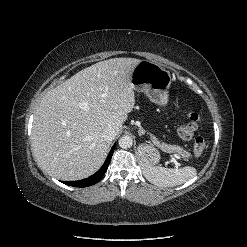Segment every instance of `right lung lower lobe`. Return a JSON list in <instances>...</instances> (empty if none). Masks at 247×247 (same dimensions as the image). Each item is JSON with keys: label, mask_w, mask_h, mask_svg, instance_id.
I'll list each match as a JSON object with an SVG mask.
<instances>
[{"label": "right lung lower lobe", "mask_w": 247, "mask_h": 247, "mask_svg": "<svg viewBox=\"0 0 247 247\" xmlns=\"http://www.w3.org/2000/svg\"><path fill=\"white\" fill-rule=\"evenodd\" d=\"M114 148H115V146L112 147V149L109 152L104 164L95 174H93L92 176H90L86 179H83V180L64 182V183L69 185V186H74V187H87V186H91V185H94L97 182H99L100 179L103 177V175L105 174V172L108 169L112 154L114 152Z\"/></svg>", "instance_id": "obj_1"}]
</instances>
